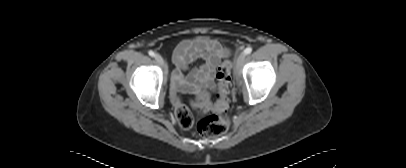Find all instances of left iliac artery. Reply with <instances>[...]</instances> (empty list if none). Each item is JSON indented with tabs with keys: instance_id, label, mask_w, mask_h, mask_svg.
<instances>
[{
	"instance_id": "44dca946",
	"label": "left iliac artery",
	"mask_w": 406,
	"mask_h": 168,
	"mask_svg": "<svg viewBox=\"0 0 406 168\" xmlns=\"http://www.w3.org/2000/svg\"><path fill=\"white\" fill-rule=\"evenodd\" d=\"M251 52H252V48H251V47H247V48L244 50L245 55H248V54H250Z\"/></svg>"
}]
</instances>
